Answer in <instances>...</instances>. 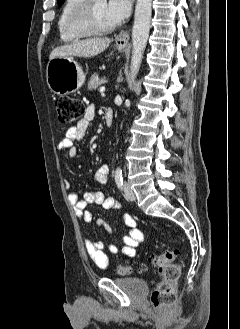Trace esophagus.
<instances>
[{"label": "esophagus", "instance_id": "34e87169", "mask_svg": "<svg viewBox=\"0 0 240 329\" xmlns=\"http://www.w3.org/2000/svg\"><path fill=\"white\" fill-rule=\"evenodd\" d=\"M129 39H130V36H129L128 32H120L116 36L115 41H116L117 46L124 48L128 44Z\"/></svg>", "mask_w": 240, "mask_h": 329}]
</instances>
